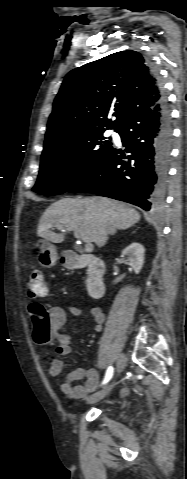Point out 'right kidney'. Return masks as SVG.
<instances>
[{
	"mask_svg": "<svg viewBox=\"0 0 187 479\" xmlns=\"http://www.w3.org/2000/svg\"><path fill=\"white\" fill-rule=\"evenodd\" d=\"M144 247L139 243H132L122 251V256L126 257L129 265L136 274L142 269L144 263Z\"/></svg>",
	"mask_w": 187,
	"mask_h": 479,
	"instance_id": "obj_1",
	"label": "right kidney"
}]
</instances>
